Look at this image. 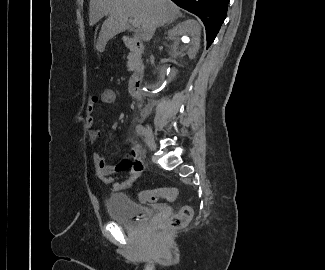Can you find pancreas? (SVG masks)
Returning a JSON list of instances; mask_svg holds the SVG:
<instances>
[{
  "mask_svg": "<svg viewBox=\"0 0 325 270\" xmlns=\"http://www.w3.org/2000/svg\"><path fill=\"white\" fill-rule=\"evenodd\" d=\"M128 70H133V67L130 64H128Z\"/></svg>",
  "mask_w": 325,
  "mask_h": 270,
  "instance_id": "1",
  "label": "pancreas"
}]
</instances>
